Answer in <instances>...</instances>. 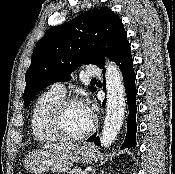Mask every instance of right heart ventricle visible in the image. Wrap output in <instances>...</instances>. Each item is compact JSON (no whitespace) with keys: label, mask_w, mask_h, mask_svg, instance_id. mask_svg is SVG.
Instances as JSON below:
<instances>
[{"label":"right heart ventricle","mask_w":175,"mask_h":174,"mask_svg":"<svg viewBox=\"0 0 175 174\" xmlns=\"http://www.w3.org/2000/svg\"><path fill=\"white\" fill-rule=\"evenodd\" d=\"M62 98L63 96L50 90L37 99L31 117V131L37 141L52 143L58 140L49 128L48 118L53 106Z\"/></svg>","instance_id":"1"}]
</instances>
